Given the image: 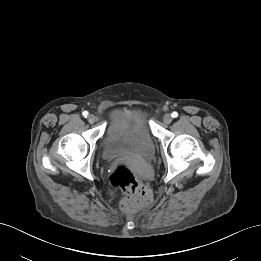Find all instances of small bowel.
I'll return each mask as SVG.
<instances>
[{"mask_svg": "<svg viewBox=\"0 0 261 261\" xmlns=\"http://www.w3.org/2000/svg\"><path fill=\"white\" fill-rule=\"evenodd\" d=\"M116 116H117V115H114V116L112 117V120H114Z\"/></svg>", "mask_w": 261, "mask_h": 261, "instance_id": "c3829d8e", "label": "small bowel"}]
</instances>
